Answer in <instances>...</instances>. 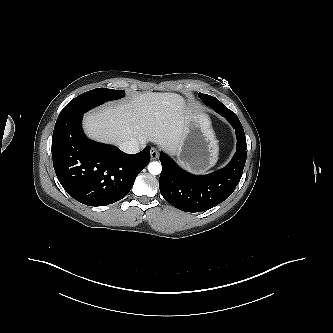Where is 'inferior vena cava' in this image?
<instances>
[{
  "label": "inferior vena cava",
  "instance_id": "1",
  "mask_svg": "<svg viewBox=\"0 0 333 333\" xmlns=\"http://www.w3.org/2000/svg\"><path fill=\"white\" fill-rule=\"evenodd\" d=\"M120 149L128 154H134L139 152L140 143L137 140L126 141L120 145Z\"/></svg>",
  "mask_w": 333,
  "mask_h": 333
}]
</instances>
